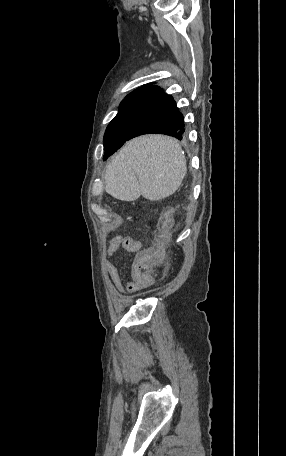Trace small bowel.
I'll use <instances>...</instances> for the list:
<instances>
[{
    "label": "small bowel",
    "mask_w": 286,
    "mask_h": 456,
    "mask_svg": "<svg viewBox=\"0 0 286 456\" xmlns=\"http://www.w3.org/2000/svg\"><path fill=\"white\" fill-rule=\"evenodd\" d=\"M141 246V243L137 240H134L127 236H115L111 239L109 248H108V256L109 258L114 257L118 251L123 248L127 253L136 252L137 249ZM106 270L108 276L115 286V288L121 292H137L140 288L133 282V280H126L124 283L122 282L120 273L116 265L111 261L107 260L106 262Z\"/></svg>",
    "instance_id": "1"
}]
</instances>
